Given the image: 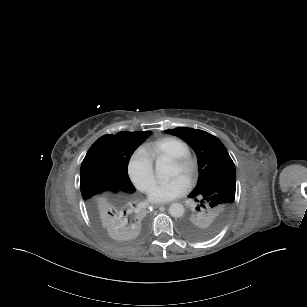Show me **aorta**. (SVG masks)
Returning <instances> with one entry per match:
<instances>
[{"label": "aorta", "instance_id": "aorta-1", "mask_svg": "<svg viewBox=\"0 0 307 307\" xmlns=\"http://www.w3.org/2000/svg\"><path fill=\"white\" fill-rule=\"evenodd\" d=\"M155 171L157 177L162 180H170V178L177 175L175 167L162 159L156 161ZM184 212L185 208L180 203H173L169 207V214L174 218L182 217Z\"/></svg>", "mask_w": 307, "mask_h": 307}]
</instances>
